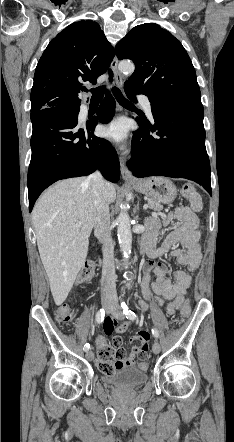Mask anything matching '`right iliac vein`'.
<instances>
[{
	"label": "right iliac vein",
	"instance_id": "1",
	"mask_svg": "<svg viewBox=\"0 0 234 442\" xmlns=\"http://www.w3.org/2000/svg\"><path fill=\"white\" fill-rule=\"evenodd\" d=\"M103 306L106 308L107 312H110L111 303L108 300L103 301ZM86 358L92 361L94 359V353L91 350L87 351Z\"/></svg>",
	"mask_w": 234,
	"mask_h": 442
}]
</instances>
